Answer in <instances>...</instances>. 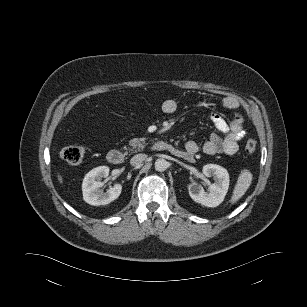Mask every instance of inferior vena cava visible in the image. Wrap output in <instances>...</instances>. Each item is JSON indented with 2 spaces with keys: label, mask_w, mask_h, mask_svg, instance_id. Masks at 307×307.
<instances>
[{
  "label": "inferior vena cava",
  "mask_w": 307,
  "mask_h": 307,
  "mask_svg": "<svg viewBox=\"0 0 307 307\" xmlns=\"http://www.w3.org/2000/svg\"><path fill=\"white\" fill-rule=\"evenodd\" d=\"M147 158L146 154H136L134 155L131 160H130V164L132 166H136L141 164L143 161H145V159Z\"/></svg>",
  "instance_id": "inferior-vena-cava-1"
}]
</instances>
